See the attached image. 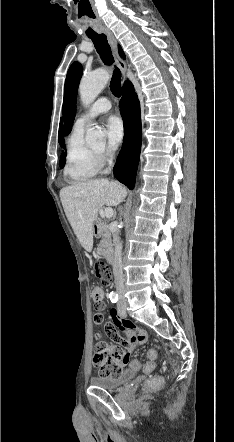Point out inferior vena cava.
I'll return each instance as SVG.
<instances>
[{"label":"inferior vena cava","mask_w":234,"mask_h":442,"mask_svg":"<svg viewBox=\"0 0 234 442\" xmlns=\"http://www.w3.org/2000/svg\"><path fill=\"white\" fill-rule=\"evenodd\" d=\"M114 243V260H113V274L116 285V290L121 300H124V275L122 270V244L119 237V231L115 230L113 233Z\"/></svg>","instance_id":"1"}]
</instances>
